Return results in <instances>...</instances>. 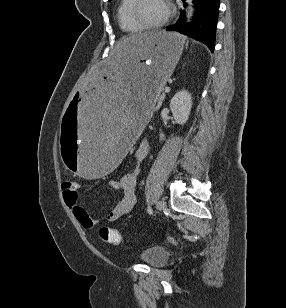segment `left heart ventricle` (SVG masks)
Masks as SVG:
<instances>
[{"instance_id": "b2bd125f", "label": "left heart ventricle", "mask_w": 286, "mask_h": 308, "mask_svg": "<svg viewBox=\"0 0 286 308\" xmlns=\"http://www.w3.org/2000/svg\"><path fill=\"white\" fill-rule=\"evenodd\" d=\"M167 14L165 0H142L139 7L140 17L147 23H157Z\"/></svg>"}]
</instances>
